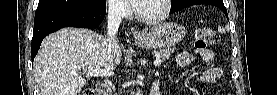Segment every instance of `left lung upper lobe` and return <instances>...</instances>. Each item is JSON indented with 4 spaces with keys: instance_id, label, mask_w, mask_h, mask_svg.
<instances>
[{
    "instance_id": "left-lung-upper-lobe-1",
    "label": "left lung upper lobe",
    "mask_w": 277,
    "mask_h": 95,
    "mask_svg": "<svg viewBox=\"0 0 277 95\" xmlns=\"http://www.w3.org/2000/svg\"><path fill=\"white\" fill-rule=\"evenodd\" d=\"M190 1L192 0H172V6H171L170 12L180 9Z\"/></svg>"
}]
</instances>
